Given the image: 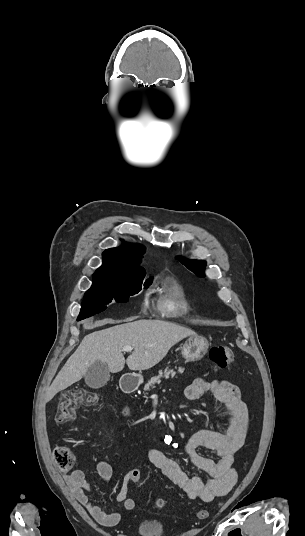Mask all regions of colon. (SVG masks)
Here are the masks:
<instances>
[{
	"instance_id": "colon-1",
	"label": "colon",
	"mask_w": 305,
	"mask_h": 536,
	"mask_svg": "<svg viewBox=\"0 0 305 536\" xmlns=\"http://www.w3.org/2000/svg\"><path fill=\"white\" fill-rule=\"evenodd\" d=\"M210 360L219 367H226L233 361V350L226 344L214 346L209 351ZM99 396L96 392L84 391V390H69L63 393L61 396L56 413V420L60 424H66L72 421L76 415V409L81 406H92L97 404ZM53 458L61 471H76L77 462L74 460L75 455L73 450L69 446L57 445L53 450ZM130 476L127 478L126 483L128 486L133 487L136 483H140L143 480L142 475L138 474L137 469L132 468L129 471ZM156 506L163 508V502L157 501ZM198 519H206L209 517V512L206 510H200L196 513Z\"/></svg>"
}]
</instances>
